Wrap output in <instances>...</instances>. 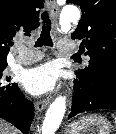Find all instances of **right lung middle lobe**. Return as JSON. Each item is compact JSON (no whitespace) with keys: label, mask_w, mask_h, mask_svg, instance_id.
<instances>
[{"label":"right lung middle lobe","mask_w":116,"mask_h":134,"mask_svg":"<svg viewBox=\"0 0 116 134\" xmlns=\"http://www.w3.org/2000/svg\"><path fill=\"white\" fill-rule=\"evenodd\" d=\"M7 63H0V101L10 100L18 91L16 83H8L10 78L5 75V67Z\"/></svg>","instance_id":"right-lung-middle-lobe-1"}]
</instances>
